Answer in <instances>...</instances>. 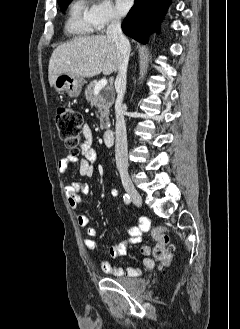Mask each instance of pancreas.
I'll return each instance as SVG.
<instances>
[{
  "mask_svg": "<svg viewBox=\"0 0 240 329\" xmlns=\"http://www.w3.org/2000/svg\"><path fill=\"white\" fill-rule=\"evenodd\" d=\"M96 82H92L88 85V87L85 89V97L88 103H90L91 106L98 107V110L100 112V128L108 129L110 127L109 122V114H110V107L113 104V96L111 94L110 88H104L101 92H99L97 95L94 94V87Z\"/></svg>",
  "mask_w": 240,
  "mask_h": 329,
  "instance_id": "obj_1",
  "label": "pancreas"
}]
</instances>
